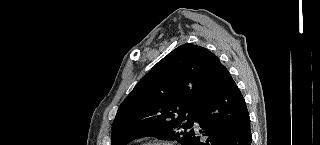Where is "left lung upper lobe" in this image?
<instances>
[{"label":"left lung upper lobe","mask_w":320,"mask_h":145,"mask_svg":"<svg viewBox=\"0 0 320 145\" xmlns=\"http://www.w3.org/2000/svg\"><path fill=\"white\" fill-rule=\"evenodd\" d=\"M219 62L208 49L183 44L160 60L120 105L112 145L144 136L187 145L203 103V84Z\"/></svg>","instance_id":"left-lung-upper-lobe-1"}]
</instances>
